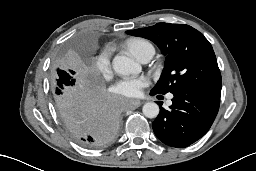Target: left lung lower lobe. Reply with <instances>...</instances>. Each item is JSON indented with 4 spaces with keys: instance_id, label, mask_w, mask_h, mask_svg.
Wrapping results in <instances>:
<instances>
[{
    "instance_id": "left-lung-lower-lobe-1",
    "label": "left lung lower lobe",
    "mask_w": 256,
    "mask_h": 171,
    "mask_svg": "<svg viewBox=\"0 0 256 171\" xmlns=\"http://www.w3.org/2000/svg\"><path fill=\"white\" fill-rule=\"evenodd\" d=\"M172 94L170 110L160 104V113L152 127L163 143L183 148L207 133L218 113L221 92L186 87Z\"/></svg>"
}]
</instances>
